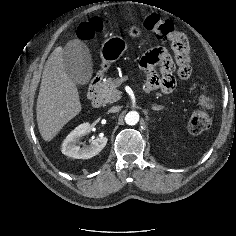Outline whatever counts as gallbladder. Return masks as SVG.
I'll return each mask as SVG.
<instances>
[{"instance_id":"bac80fb5","label":"gallbladder","mask_w":236,"mask_h":236,"mask_svg":"<svg viewBox=\"0 0 236 236\" xmlns=\"http://www.w3.org/2000/svg\"><path fill=\"white\" fill-rule=\"evenodd\" d=\"M64 68L69 78L76 84H87L93 73L92 60L88 47L81 41L73 40L66 44L63 52Z\"/></svg>"}]
</instances>
